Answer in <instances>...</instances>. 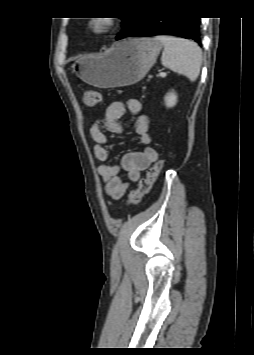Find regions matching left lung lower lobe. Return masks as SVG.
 Here are the masks:
<instances>
[{
    "label": "left lung lower lobe",
    "instance_id": "1",
    "mask_svg": "<svg viewBox=\"0 0 254 355\" xmlns=\"http://www.w3.org/2000/svg\"><path fill=\"white\" fill-rule=\"evenodd\" d=\"M153 35H175L186 39H192L198 44H201L199 18H137L134 26L126 34L121 36V38Z\"/></svg>",
    "mask_w": 254,
    "mask_h": 355
}]
</instances>
